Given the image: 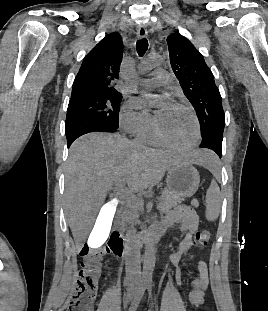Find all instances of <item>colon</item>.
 <instances>
[{
	"label": "colon",
	"mask_w": 268,
	"mask_h": 311,
	"mask_svg": "<svg viewBox=\"0 0 268 311\" xmlns=\"http://www.w3.org/2000/svg\"><path fill=\"white\" fill-rule=\"evenodd\" d=\"M210 240V232L201 230L196 233L195 243L201 249L206 247ZM109 249L98 247L92 249L85 245L81 252V270L75 282L72 296L66 307V311H93V302L99 287V279L102 273V260Z\"/></svg>",
	"instance_id": "obj_1"
}]
</instances>
